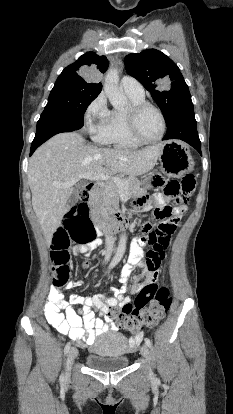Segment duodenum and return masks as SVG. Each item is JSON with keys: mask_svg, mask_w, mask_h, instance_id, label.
<instances>
[{"mask_svg": "<svg viewBox=\"0 0 233 414\" xmlns=\"http://www.w3.org/2000/svg\"><path fill=\"white\" fill-rule=\"evenodd\" d=\"M87 191L86 197L82 198V203L87 204L91 209L90 219L96 222V228L98 233H112L122 230L127 222L126 216L122 212H116L110 219L106 220L101 210V205L98 204V200L101 199V190L95 185H88L85 189Z\"/></svg>", "mask_w": 233, "mask_h": 414, "instance_id": "1", "label": "duodenum"}]
</instances>
